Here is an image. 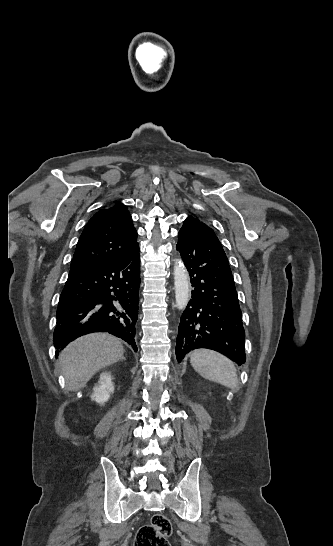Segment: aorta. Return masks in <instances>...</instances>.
<instances>
[{
	"mask_svg": "<svg viewBox=\"0 0 333 546\" xmlns=\"http://www.w3.org/2000/svg\"><path fill=\"white\" fill-rule=\"evenodd\" d=\"M175 299L178 309H185L189 301V276L181 260L174 266Z\"/></svg>",
	"mask_w": 333,
	"mask_h": 546,
	"instance_id": "obj_1",
	"label": "aorta"
}]
</instances>
